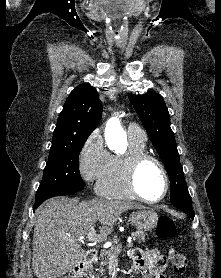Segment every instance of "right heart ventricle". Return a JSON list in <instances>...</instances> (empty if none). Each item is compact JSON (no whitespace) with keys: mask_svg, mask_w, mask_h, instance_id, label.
Listing matches in <instances>:
<instances>
[{"mask_svg":"<svg viewBox=\"0 0 221 278\" xmlns=\"http://www.w3.org/2000/svg\"><path fill=\"white\" fill-rule=\"evenodd\" d=\"M146 152V140L130 137L127 153ZM126 153V154H127ZM122 157L111 155L110 165L105 175L98 182V191L105 197L114 199H133L125 185L122 171Z\"/></svg>","mask_w":221,"mask_h":278,"instance_id":"1","label":"right heart ventricle"}]
</instances>
